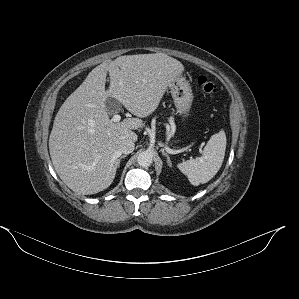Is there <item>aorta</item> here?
Masks as SVG:
<instances>
[{
	"label": "aorta",
	"instance_id": "aorta-1",
	"mask_svg": "<svg viewBox=\"0 0 299 299\" xmlns=\"http://www.w3.org/2000/svg\"><path fill=\"white\" fill-rule=\"evenodd\" d=\"M137 162L139 166L147 168L152 164L153 156L150 152L144 151L138 155Z\"/></svg>",
	"mask_w": 299,
	"mask_h": 299
}]
</instances>
